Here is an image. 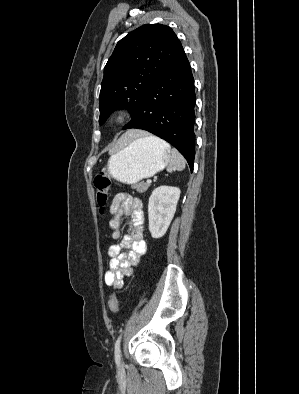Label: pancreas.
Segmentation results:
<instances>
[{"instance_id":"pancreas-1","label":"pancreas","mask_w":299,"mask_h":394,"mask_svg":"<svg viewBox=\"0 0 299 394\" xmlns=\"http://www.w3.org/2000/svg\"><path fill=\"white\" fill-rule=\"evenodd\" d=\"M149 186H150V184L141 182V183L135 184L133 186V188L136 189L138 192L143 193V192L147 191Z\"/></svg>"}]
</instances>
